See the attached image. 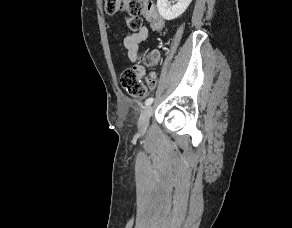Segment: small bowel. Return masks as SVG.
I'll return each instance as SVG.
<instances>
[{
    "instance_id": "c3829d8e",
    "label": "small bowel",
    "mask_w": 292,
    "mask_h": 228,
    "mask_svg": "<svg viewBox=\"0 0 292 228\" xmlns=\"http://www.w3.org/2000/svg\"><path fill=\"white\" fill-rule=\"evenodd\" d=\"M149 30L147 27H141L137 32L132 33L124 38L123 44L128 51V57L131 61L135 62L138 57L139 45L141 43H148ZM137 71L144 76L146 69L143 65L135 66ZM156 87V79L152 77V81L149 84L150 89Z\"/></svg>"
}]
</instances>
